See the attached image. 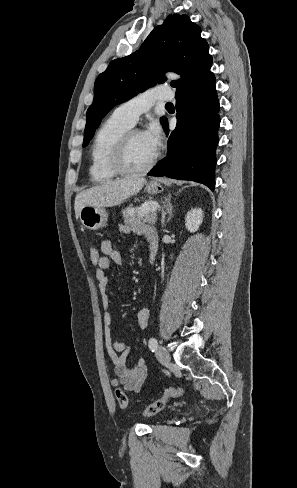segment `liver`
I'll list each match as a JSON object with an SVG mask.
<instances>
[{"instance_id":"1","label":"liver","mask_w":297,"mask_h":488,"mask_svg":"<svg viewBox=\"0 0 297 488\" xmlns=\"http://www.w3.org/2000/svg\"><path fill=\"white\" fill-rule=\"evenodd\" d=\"M145 183L144 177L133 175L84 190L75 198L76 217L84 206L112 207L121 204L140 191Z\"/></svg>"}]
</instances>
